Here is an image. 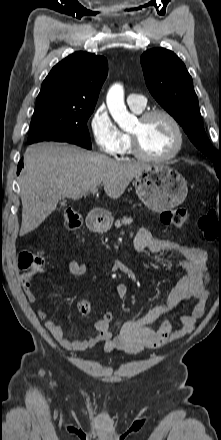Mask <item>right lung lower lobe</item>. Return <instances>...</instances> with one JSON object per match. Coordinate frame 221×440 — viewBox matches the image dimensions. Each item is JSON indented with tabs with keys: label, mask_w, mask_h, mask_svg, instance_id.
Here are the masks:
<instances>
[{
	"label": "right lung lower lobe",
	"mask_w": 221,
	"mask_h": 440,
	"mask_svg": "<svg viewBox=\"0 0 221 440\" xmlns=\"http://www.w3.org/2000/svg\"><path fill=\"white\" fill-rule=\"evenodd\" d=\"M22 167H23V161L21 160V161L19 162V164H18V167H17V174L20 173Z\"/></svg>",
	"instance_id": "right-lung-lower-lobe-1"
}]
</instances>
